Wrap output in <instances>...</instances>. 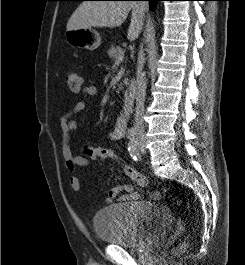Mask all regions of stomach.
Returning a JSON list of instances; mask_svg holds the SVG:
<instances>
[{
  "label": "stomach",
  "mask_w": 245,
  "mask_h": 265,
  "mask_svg": "<svg viewBox=\"0 0 245 265\" xmlns=\"http://www.w3.org/2000/svg\"><path fill=\"white\" fill-rule=\"evenodd\" d=\"M66 42L73 48L95 50L101 44L99 33L91 28L66 32Z\"/></svg>",
  "instance_id": "stomach-1"
}]
</instances>
